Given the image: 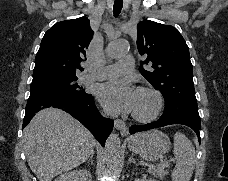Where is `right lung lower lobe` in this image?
I'll list each match as a JSON object with an SVG mask.
<instances>
[{
    "label": "right lung lower lobe",
    "mask_w": 228,
    "mask_h": 181,
    "mask_svg": "<svg viewBox=\"0 0 228 181\" xmlns=\"http://www.w3.org/2000/svg\"><path fill=\"white\" fill-rule=\"evenodd\" d=\"M49 107L59 108L71 114L94 135L102 146L105 145L114 122L100 115L92 96L85 100H75L56 94L30 96L26 105L23 127L29 123L36 112Z\"/></svg>",
    "instance_id": "98d812e1"
}]
</instances>
